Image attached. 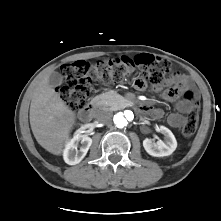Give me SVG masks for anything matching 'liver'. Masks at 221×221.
Listing matches in <instances>:
<instances>
[{
	"mask_svg": "<svg viewBox=\"0 0 221 221\" xmlns=\"http://www.w3.org/2000/svg\"><path fill=\"white\" fill-rule=\"evenodd\" d=\"M75 120V112L49 84V75L44 76L35 87L30 105V125L38 144L60 155Z\"/></svg>",
	"mask_w": 221,
	"mask_h": 221,
	"instance_id": "1",
	"label": "liver"
}]
</instances>
